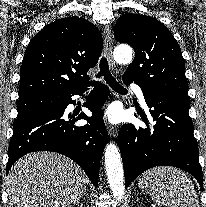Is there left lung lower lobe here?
Returning <instances> with one entry per match:
<instances>
[{
  "label": "left lung lower lobe",
  "mask_w": 206,
  "mask_h": 207,
  "mask_svg": "<svg viewBox=\"0 0 206 207\" xmlns=\"http://www.w3.org/2000/svg\"><path fill=\"white\" fill-rule=\"evenodd\" d=\"M128 85L131 82L123 78ZM149 111L138 112L147 128L125 124L119 133L125 172V187L141 173L155 166H175L193 175L203 190L199 152L189 116L190 101L143 92ZM135 116H137L135 114Z\"/></svg>",
  "instance_id": "0a47b994"
}]
</instances>
